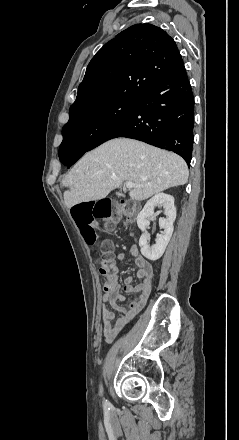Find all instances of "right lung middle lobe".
Returning a JSON list of instances; mask_svg holds the SVG:
<instances>
[{"mask_svg":"<svg viewBox=\"0 0 239 440\" xmlns=\"http://www.w3.org/2000/svg\"><path fill=\"white\" fill-rule=\"evenodd\" d=\"M137 99L115 97L92 109L70 116L62 129L63 141L59 152L68 147L88 148L98 135L123 119Z\"/></svg>","mask_w":239,"mask_h":440,"instance_id":"right-lung-middle-lobe-1","label":"right lung middle lobe"}]
</instances>
